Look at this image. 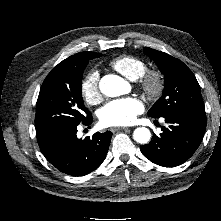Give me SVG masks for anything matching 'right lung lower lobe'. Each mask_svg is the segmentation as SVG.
<instances>
[{"instance_id": "1", "label": "right lung lower lobe", "mask_w": 221, "mask_h": 221, "mask_svg": "<svg viewBox=\"0 0 221 221\" xmlns=\"http://www.w3.org/2000/svg\"><path fill=\"white\" fill-rule=\"evenodd\" d=\"M92 123L90 115L84 125ZM76 126H62L37 134L39 147L46 159L58 170L83 176L96 169L105 159L112 133L96 132L91 138L78 139Z\"/></svg>"}]
</instances>
